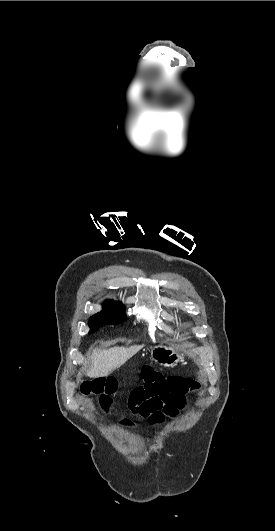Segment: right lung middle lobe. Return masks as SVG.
I'll list each match as a JSON object with an SVG mask.
<instances>
[{
	"label": "right lung middle lobe",
	"mask_w": 275,
	"mask_h": 531,
	"mask_svg": "<svg viewBox=\"0 0 275 531\" xmlns=\"http://www.w3.org/2000/svg\"><path fill=\"white\" fill-rule=\"evenodd\" d=\"M125 319L124 306L113 300H107L103 305V311L93 315L88 322L90 332H95L103 325H117Z\"/></svg>",
	"instance_id": "obj_1"
}]
</instances>
